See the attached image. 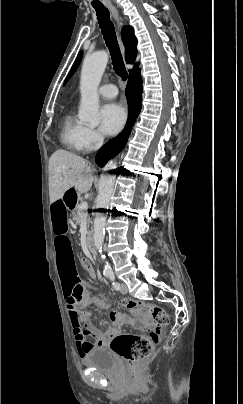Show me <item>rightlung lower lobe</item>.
<instances>
[{
  "mask_svg": "<svg viewBox=\"0 0 243 404\" xmlns=\"http://www.w3.org/2000/svg\"><path fill=\"white\" fill-rule=\"evenodd\" d=\"M126 97L129 106V118L125 129L114 139L106 143L96 154V163L103 167L106 162L118 154L125 146L131 128L142 106V80L140 71L129 77L126 88Z\"/></svg>",
  "mask_w": 243,
  "mask_h": 404,
  "instance_id": "1",
  "label": "right lung lower lobe"
}]
</instances>
